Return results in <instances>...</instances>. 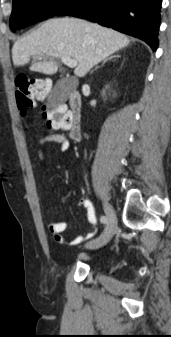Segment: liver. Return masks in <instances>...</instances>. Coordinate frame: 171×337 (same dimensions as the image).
Listing matches in <instances>:
<instances>
[{"instance_id":"6515ba94","label":"liver","mask_w":171,"mask_h":337,"mask_svg":"<svg viewBox=\"0 0 171 337\" xmlns=\"http://www.w3.org/2000/svg\"><path fill=\"white\" fill-rule=\"evenodd\" d=\"M129 44L127 36L98 24L73 17L54 18L17 40L12 59L15 66H24L31 57L44 56L30 70L53 75L58 70L55 59L67 56L77 61L74 74L84 77L92 67Z\"/></svg>"}]
</instances>
